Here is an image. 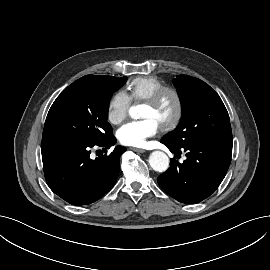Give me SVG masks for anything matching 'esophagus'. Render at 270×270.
<instances>
[{
  "label": "esophagus",
  "instance_id": "esophagus-1",
  "mask_svg": "<svg viewBox=\"0 0 270 270\" xmlns=\"http://www.w3.org/2000/svg\"><path fill=\"white\" fill-rule=\"evenodd\" d=\"M131 149L138 153H144L146 151L145 149H140V148H131Z\"/></svg>",
  "mask_w": 270,
  "mask_h": 270
}]
</instances>
